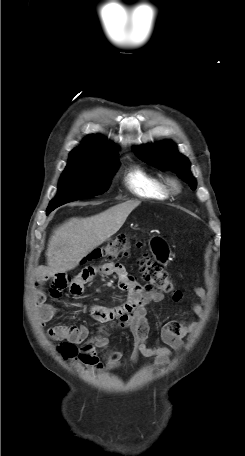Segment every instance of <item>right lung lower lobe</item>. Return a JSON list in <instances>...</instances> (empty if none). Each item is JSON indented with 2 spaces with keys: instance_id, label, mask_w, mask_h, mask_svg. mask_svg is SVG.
Here are the masks:
<instances>
[{
  "instance_id": "obj_1",
  "label": "right lung lower lobe",
  "mask_w": 245,
  "mask_h": 456,
  "mask_svg": "<svg viewBox=\"0 0 245 456\" xmlns=\"http://www.w3.org/2000/svg\"><path fill=\"white\" fill-rule=\"evenodd\" d=\"M51 211H53V210H47V211H46L47 215H48Z\"/></svg>"
}]
</instances>
